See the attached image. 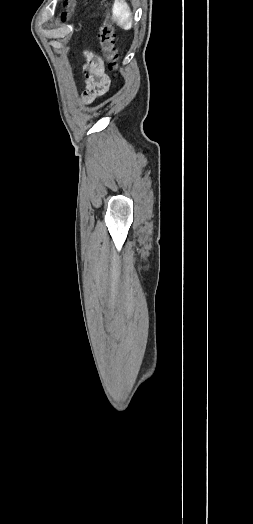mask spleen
<instances>
[{"label":"spleen","mask_w":253,"mask_h":524,"mask_svg":"<svg viewBox=\"0 0 253 524\" xmlns=\"http://www.w3.org/2000/svg\"><path fill=\"white\" fill-rule=\"evenodd\" d=\"M112 12L117 25H119L124 30L131 29V10L127 3H125L123 0H115Z\"/></svg>","instance_id":"3e777b00"}]
</instances>
